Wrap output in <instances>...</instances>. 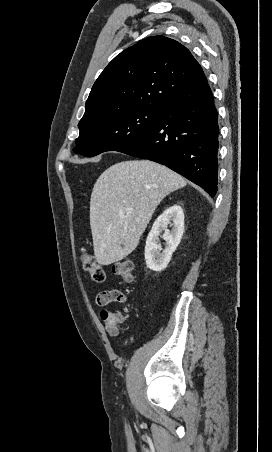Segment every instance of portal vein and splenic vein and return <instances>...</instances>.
<instances>
[{"label": "portal vein and splenic vein", "instance_id": "18ae733b", "mask_svg": "<svg viewBox=\"0 0 272 452\" xmlns=\"http://www.w3.org/2000/svg\"><path fill=\"white\" fill-rule=\"evenodd\" d=\"M132 210H133L132 208H128V209H127V212L130 213V212H132Z\"/></svg>", "mask_w": 272, "mask_h": 452}]
</instances>
